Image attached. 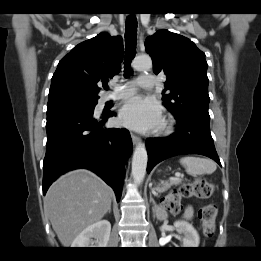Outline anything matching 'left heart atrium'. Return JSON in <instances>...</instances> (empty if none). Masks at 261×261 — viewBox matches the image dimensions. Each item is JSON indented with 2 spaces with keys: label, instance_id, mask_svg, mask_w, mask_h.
Listing matches in <instances>:
<instances>
[{
  "label": "left heart atrium",
  "instance_id": "obj_1",
  "mask_svg": "<svg viewBox=\"0 0 261 261\" xmlns=\"http://www.w3.org/2000/svg\"><path fill=\"white\" fill-rule=\"evenodd\" d=\"M120 122L138 131H149L162 123L161 109L150 98L134 96L127 99L119 111Z\"/></svg>",
  "mask_w": 261,
  "mask_h": 261
}]
</instances>
